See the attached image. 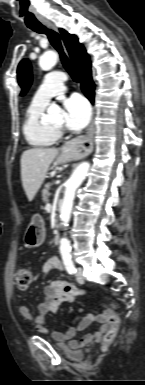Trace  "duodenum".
Returning a JSON list of instances; mask_svg holds the SVG:
<instances>
[{"label":"duodenum","instance_id":"duodenum-1","mask_svg":"<svg viewBox=\"0 0 145 385\" xmlns=\"http://www.w3.org/2000/svg\"><path fill=\"white\" fill-rule=\"evenodd\" d=\"M53 241L55 244H59L60 243V234L58 232H56L53 236Z\"/></svg>","mask_w":145,"mask_h":385}]
</instances>
